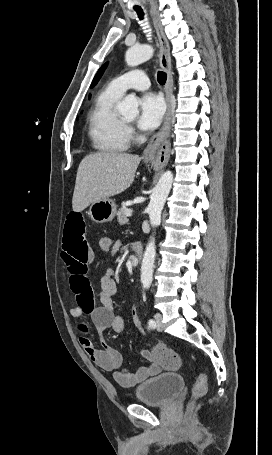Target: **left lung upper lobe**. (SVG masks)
<instances>
[{
  "label": "left lung upper lobe",
  "instance_id": "1",
  "mask_svg": "<svg viewBox=\"0 0 272 455\" xmlns=\"http://www.w3.org/2000/svg\"><path fill=\"white\" fill-rule=\"evenodd\" d=\"M107 66V63L104 64L97 72V74L95 75L94 79H93V82L91 84V88L94 87L96 85V83L98 82V80L100 79V77L102 76V74L104 73V70Z\"/></svg>",
  "mask_w": 272,
  "mask_h": 455
}]
</instances>
